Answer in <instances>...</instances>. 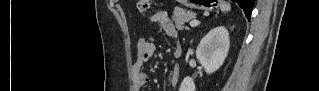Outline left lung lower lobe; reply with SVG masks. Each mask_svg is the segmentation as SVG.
<instances>
[{"label":"left lung lower lobe","mask_w":319,"mask_h":91,"mask_svg":"<svg viewBox=\"0 0 319 91\" xmlns=\"http://www.w3.org/2000/svg\"><path fill=\"white\" fill-rule=\"evenodd\" d=\"M238 5L244 10V13L248 20H250L251 12L253 5L255 3V0H235Z\"/></svg>","instance_id":"left-lung-lower-lobe-1"}]
</instances>
